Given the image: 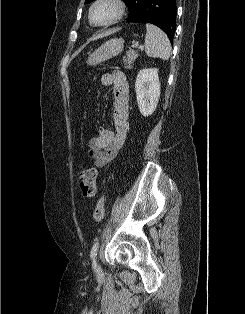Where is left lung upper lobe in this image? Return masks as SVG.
I'll return each instance as SVG.
<instances>
[{"label":"left lung upper lobe","mask_w":245,"mask_h":314,"mask_svg":"<svg viewBox=\"0 0 245 314\" xmlns=\"http://www.w3.org/2000/svg\"><path fill=\"white\" fill-rule=\"evenodd\" d=\"M93 0H85V3H90ZM129 9L128 17L134 16L141 8L144 0H123Z\"/></svg>","instance_id":"5c2ea615"}]
</instances>
